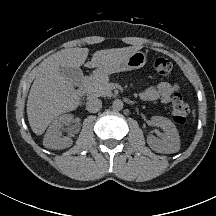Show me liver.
<instances>
[{
  "mask_svg": "<svg viewBox=\"0 0 216 216\" xmlns=\"http://www.w3.org/2000/svg\"><path fill=\"white\" fill-rule=\"evenodd\" d=\"M141 47L112 48L96 51L86 67L114 65ZM88 48L64 49L49 56L37 74L27 100V116L36 135L45 132L48 125L60 114L73 111L79 105V96L60 67L79 68L86 61Z\"/></svg>",
  "mask_w": 216,
  "mask_h": 216,
  "instance_id": "obj_1",
  "label": "liver"
}]
</instances>
